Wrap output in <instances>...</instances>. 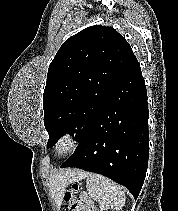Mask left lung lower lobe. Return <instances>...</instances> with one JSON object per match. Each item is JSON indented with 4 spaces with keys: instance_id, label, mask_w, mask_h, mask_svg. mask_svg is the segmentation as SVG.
Returning <instances> with one entry per match:
<instances>
[{
    "instance_id": "0a47b994",
    "label": "left lung lower lobe",
    "mask_w": 178,
    "mask_h": 211,
    "mask_svg": "<svg viewBox=\"0 0 178 211\" xmlns=\"http://www.w3.org/2000/svg\"><path fill=\"white\" fill-rule=\"evenodd\" d=\"M148 117L145 81L134 56L89 133L61 167L102 174L125 186L136 199L147 171Z\"/></svg>"
}]
</instances>
